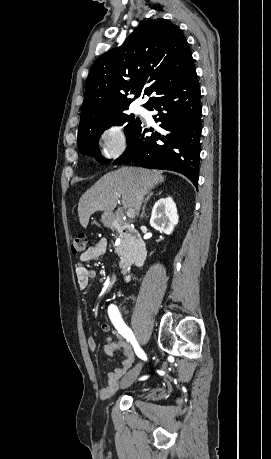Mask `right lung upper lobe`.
I'll return each instance as SVG.
<instances>
[{
    "label": "right lung upper lobe",
    "instance_id": "obj_1",
    "mask_svg": "<svg viewBox=\"0 0 271 459\" xmlns=\"http://www.w3.org/2000/svg\"><path fill=\"white\" fill-rule=\"evenodd\" d=\"M194 72L189 44L177 25L163 18L142 21L123 45L92 65L80 122L124 113L141 94L151 99Z\"/></svg>",
    "mask_w": 271,
    "mask_h": 459
}]
</instances>
